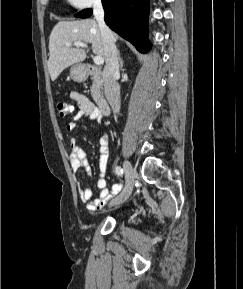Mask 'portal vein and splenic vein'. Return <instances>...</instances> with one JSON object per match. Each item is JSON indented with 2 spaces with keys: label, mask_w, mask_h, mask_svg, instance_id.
I'll return each mask as SVG.
<instances>
[{
  "label": "portal vein and splenic vein",
  "mask_w": 243,
  "mask_h": 289,
  "mask_svg": "<svg viewBox=\"0 0 243 289\" xmlns=\"http://www.w3.org/2000/svg\"><path fill=\"white\" fill-rule=\"evenodd\" d=\"M77 46V47H84V48H87V44L86 43H83V42H80V41H77V42H74V43H67L66 46ZM94 63L96 65H102L104 63V58L101 57V56H95L94 57Z\"/></svg>",
  "instance_id": "18ae733b"
}]
</instances>
